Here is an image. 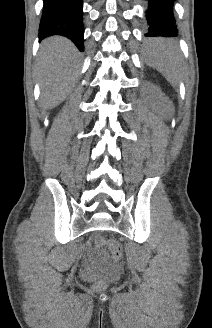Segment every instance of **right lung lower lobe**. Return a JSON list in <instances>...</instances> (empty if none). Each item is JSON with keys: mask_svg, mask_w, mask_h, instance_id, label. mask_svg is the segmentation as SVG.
<instances>
[{"mask_svg": "<svg viewBox=\"0 0 212 328\" xmlns=\"http://www.w3.org/2000/svg\"><path fill=\"white\" fill-rule=\"evenodd\" d=\"M39 37L62 35L71 39L80 51L84 50L82 0H43Z\"/></svg>", "mask_w": 212, "mask_h": 328, "instance_id": "right-lung-lower-lobe-1", "label": "right lung lower lobe"}]
</instances>
